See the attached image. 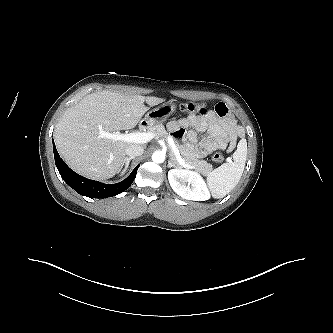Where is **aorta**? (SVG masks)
<instances>
[{
    "mask_svg": "<svg viewBox=\"0 0 333 333\" xmlns=\"http://www.w3.org/2000/svg\"><path fill=\"white\" fill-rule=\"evenodd\" d=\"M165 160V153L162 151H155L152 155V161L155 163H162Z\"/></svg>",
    "mask_w": 333,
    "mask_h": 333,
    "instance_id": "aorta-1",
    "label": "aorta"
}]
</instances>
